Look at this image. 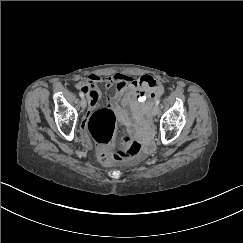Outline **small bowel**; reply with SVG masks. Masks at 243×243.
Returning a JSON list of instances; mask_svg holds the SVG:
<instances>
[{
	"label": "small bowel",
	"mask_w": 243,
	"mask_h": 243,
	"mask_svg": "<svg viewBox=\"0 0 243 243\" xmlns=\"http://www.w3.org/2000/svg\"><path fill=\"white\" fill-rule=\"evenodd\" d=\"M106 88L117 85L115 94L109 99V106L115 112L119 121L127 126L133 125V120L128 114L127 108L132 111L134 119H139L147 105L152 104L163 93V87L149 75H143L134 79L125 74H115L110 77H101L92 74L85 81L77 84L89 100V109L94 110L100 97L99 84ZM87 118L84 120L86 124ZM84 141L87 146L90 141L85 134Z\"/></svg>",
	"instance_id": "obj_1"
}]
</instances>
